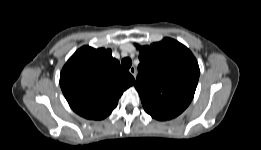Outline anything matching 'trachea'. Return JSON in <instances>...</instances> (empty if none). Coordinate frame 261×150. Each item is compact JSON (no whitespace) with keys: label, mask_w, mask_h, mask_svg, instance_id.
<instances>
[{"label":"trachea","mask_w":261,"mask_h":150,"mask_svg":"<svg viewBox=\"0 0 261 150\" xmlns=\"http://www.w3.org/2000/svg\"><path fill=\"white\" fill-rule=\"evenodd\" d=\"M121 64L122 66L125 68V69H128L131 67V64H132V60L130 58H124L122 61H121Z\"/></svg>","instance_id":"trachea-1"}]
</instances>
